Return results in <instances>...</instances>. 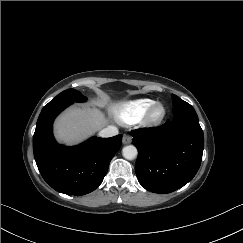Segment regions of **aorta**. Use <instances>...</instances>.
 I'll return each instance as SVG.
<instances>
[{"mask_svg":"<svg viewBox=\"0 0 243 243\" xmlns=\"http://www.w3.org/2000/svg\"><path fill=\"white\" fill-rule=\"evenodd\" d=\"M122 155L127 160H133L137 156V148L134 145L125 146Z\"/></svg>","mask_w":243,"mask_h":243,"instance_id":"aorta-1","label":"aorta"}]
</instances>
